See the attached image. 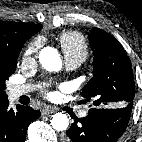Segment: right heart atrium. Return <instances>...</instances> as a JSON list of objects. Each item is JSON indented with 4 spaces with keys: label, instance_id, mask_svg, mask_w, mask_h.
<instances>
[{
    "label": "right heart atrium",
    "instance_id": "d8ad5b80",
    "mask_svg": "<svg viewBox=\"0 0 142 142\" xmlns=\"http://www.w3.org/2000/svg\"><path fill=\"white\" fill-rule=\"evenodd\" d=\"M42 44L43 41L40 38H36L29 42L23 52V63L34 62L38 57Z\"/></svg>",
    "mask_w": 142,
    "mask_h": 142
}]
</instances>
